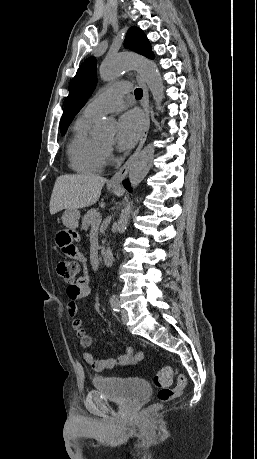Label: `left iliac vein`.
I'll list each match as a JSON object with an SVG mask.
<instances>
[{
	"mask_svg": "<svg viewBox=\"0 0 257 459\" xmlns=\"http://www.w3.org/2000/svg\"><path fill=\"white\" fill-rule=\"evenodd\" d=\"M121 318H122V322L124 324H126L128 322V313L126 310H121Z\"/></svg>",
	"mask_w": 257,
	"mask_h": 459,
	"instance_id": "4c4485c4",
	"label": "left iliac vein"
}]
</instances>
